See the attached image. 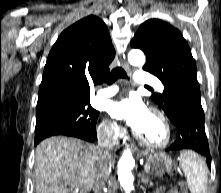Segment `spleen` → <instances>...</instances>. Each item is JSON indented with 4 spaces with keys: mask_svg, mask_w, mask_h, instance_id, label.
<instances>
[{
    "mask_svg": "<svg viewBox=\"0 0 221 193\" xmlns=\"http://www.w3.org/2000/svg\"><path fill=\"white\" fill-rule=\"evenodd\" d=\"M180 168L183 170L191 193H207L208 168L198 154L189 150L182 151Z\"/></svg>",
    "mask_w": 221,
    "mask_h": 193,
    "instance_id": "1",
    "label": "spleen"
}]
</instances>
